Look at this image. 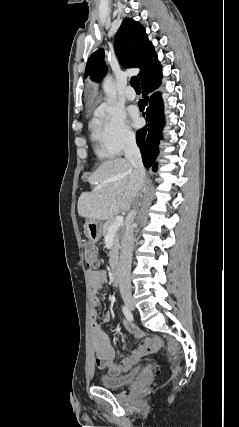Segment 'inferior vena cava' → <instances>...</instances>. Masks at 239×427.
<instances>
[{
    "label": "inferior vena cava",
    "instance_id": "inferior-vena-cava-1",
    "mask_svg": "<svg viewBox=\"0 0 239 427\" xmlns=\"http://www.w3.org/2000/svg\"><path fill=\"white\" fill-rule=\"evenodd\" d=\"M124 154L126 159L131 163L135 172L139 176L140 190L144 186L145 181V169L142 162L140 149L137 146L136 139L134 136H130L126 139ZM136 211H132L129 215L126 230L122 237L121 242V253L118 264V278L120 291L131 289V263H132V252L134 248V225L133 221L136 217Z\"/></svg>",
    "mask_w": 239,
    "mask_h": 427
}]
</instances>
